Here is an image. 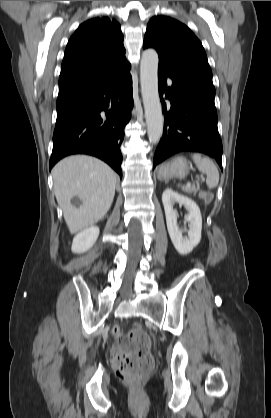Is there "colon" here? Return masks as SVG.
Wrapping results in <instances>:
<instances>
[{
    "mask_svg": "<svg viewBox=\"0 0 271 418\" xmlns=\"http://www.w3.org/2000/svg\"><path fill=\"white\" fill-rule=\"evenodd\" d=\"M202 198L209 202L211 196L204 193ZM114 333L118 336L111 354V364L115 373L127 382L136 383L143 380L154 364L146 332L134 328L121 336L119 328L115 327Z\"/></svg>",
    "mask_w": 271,
    "mask_h": 418,
    "instance_id": "obj_1",
    "label": "colon"
}]
</instances>
